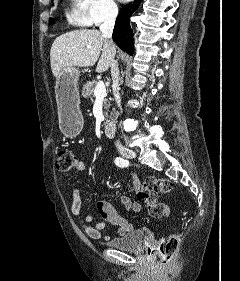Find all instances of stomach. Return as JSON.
<instances>
[{"label":"stomach","instance_id":"obj_1","mask_svg":"<svg viewBox=\"0 0 240 281\" xmlns=\"http://www.w3.org/2000/svg\"><path fill=\"white\" fill-rule=\"evenodd\" d=\"M80 76L74 67L64 68L56 78L55 92L60 129L68 137L77 136L83 128L77 82Z\"/></svg>","mask_w":240,"mask_h":281}]
</instances>
